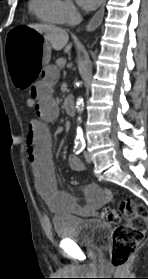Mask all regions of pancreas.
I'll use <instances>...</instances> for the list:
<instances>
[{
  "instance_id": "1",
  "label": "pancreas",
  "mask_w": 148,
  "mask_h": 279,
  "mask_svg": "<svg viewBox=\"0 0 148 279\" xmlns=\"http://www.w3.org/2000/svg\"><path fill=\"white\" fill-rule=\"evenodd\" d=\"M56 64H57V66H58L59 68H62V67H64L65 60L62 59V58H60V59H58V60L56 61Z\"/></svg>"
}]
</instances>
